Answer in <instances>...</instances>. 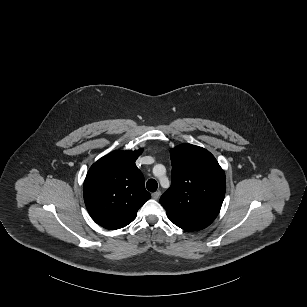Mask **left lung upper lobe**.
I'll return each instance as SVG.
<instances>
[{"label": "left lung upper lobe", "mask_w": 307, "mask_h": 307, "mask_svg": "<svg viewBox=\"0 0 307 307\" xmlns=\"http://www.w3.org/2000/svg\"><path fill=\"white\" fill-rule=\"evenodd\" d=\"M171 187L160 203L171 222L187 231L210 225L222 206L225 174L215 157L206 149L181 144L170 152Z\"/></svg>", "instance_id": "left-lung-upper-lobe-1"}]
</instances>
